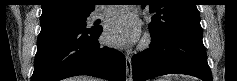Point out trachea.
<instances>
[{
    "mask_svg": "<svg viewBox=\"0 0 237 81\" xmlns=\"http://www.w3.org/2000/svg\"><path fill=\"white\" fill-rule=\"evenodd\" d=\"M113 3H116V4H113V5H123V4H121L123 2H113Z\"/></svg>",
    "mask_w": 237,
    "mask_h": 81,
    "instance_id": "trachea-1",
    "label": "trachea"
}]
</instances>
